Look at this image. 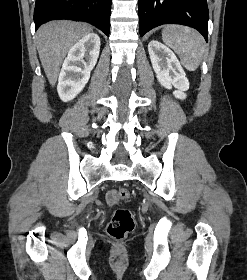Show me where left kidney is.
Here are the masks:
<instances>
[{
    "mask_svg": "<svg viewBox=\"0 0 247 280\" xmlns=\"http://www.w3.org/2000/svg\"><path fill=\"white\" fill-rule=\"evenodd\" d=\"M152 67L159 83L166 89L176 88L173 95L184 100L189 89V81L176 55L159 41L152 40L148 44Z\"/></svg>",
    "mask_w": 247,
    "mask_h": 280,
    "instance_id": "1",
    "label": "left kidney"
}]
</instances>
